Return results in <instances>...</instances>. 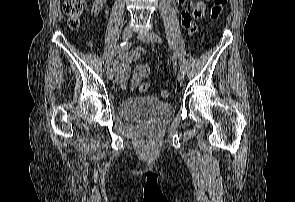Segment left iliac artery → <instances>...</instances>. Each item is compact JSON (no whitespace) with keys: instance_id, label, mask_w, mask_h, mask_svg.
<instances>
[{"instance_id":"left-iliac-artery-1","label":"left iliac artery","mask_w":295,"mask_h":202,"mask_svg":"<svg viewBox=\"0 0 295 202\" xmlns=\"http://www.w3.org/2000/svg\"><path fill=\"white\" fill-rule=\"evenodd\" d=\"M152 38H153V40L154 41H156V42H162V39H161V37L158 35V34H156V33H152ZM180 72L182 73V74H185L186 73V70H185V67H184V65H182V64H180Z\"/></svg>"}]
</instances>
